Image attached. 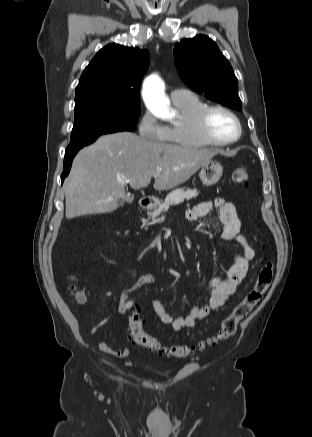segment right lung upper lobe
Wrapping results in <instances>:
<instances>
[{"instance_id":"right-lung-upper-lobe-1","label":"right lung upper lobe","mask_w":312,"mask_h":437,"mask_svg":"<svg viewBox=\"0 0 312 437\" xmlns=\"http://www.w3.org/2000/svg\"><path fill=\"white\" fill-rule=\"evenodd\" d=\"M149 52L109 44L85 68L76 87L75 107L88 104H139L141 79Z\"/></svg>"}]
</instances>
